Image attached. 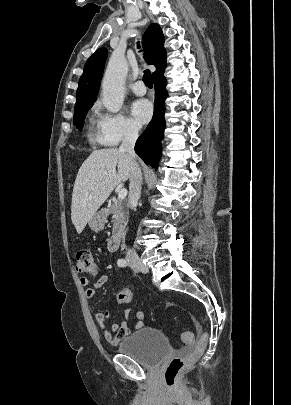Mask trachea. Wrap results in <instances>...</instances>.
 <instances>
[{"label":"trachea","instance_id":"trachea-1","mask_svg":"<svg viewBox=\"0 0 291 405\" xmlns=\"http://www.w3.org/2000/svg\"><path fill=\"white\" fill-rule=\"evenodd\" d=\"M139 47H140V46L138 45V48H139ZM143 81H144V83H145V85H146L147 87H152L153 83H152V79H151V73H150L149 70H146V71L144 72Z\"/></svg>","mask_w":291,"mask_h":405}]
</instances>
